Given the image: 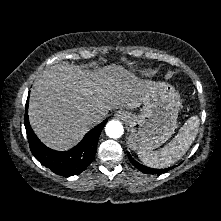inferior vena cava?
Returning a JSON list of instances; mask_svg holds the SVG:
<instances>
[{"label":"inferior vena cava","mask_w":221,"mask_h":221,"mask_svg":"<svg viewBox=\"0 0 221 221\" xmlns=\"http://www.w3.org/2000/svg\"><path fill=\"white\" fill-rule=\"evenodd\" d=\"M100 119H101V116H100V115H97V114H92V115H90V116H88V117L86 118V120H87V122H88L89 124H95V123H97Z\"/></svg>","instance_id":"602c4592"}]
</instances>
